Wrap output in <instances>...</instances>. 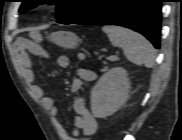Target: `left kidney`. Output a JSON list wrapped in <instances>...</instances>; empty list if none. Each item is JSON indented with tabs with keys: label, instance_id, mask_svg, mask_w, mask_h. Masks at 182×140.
Returning a JSON list of instances; mask_svg holds the SVG:
<instances>
[{
	"label": "left kidney",
	"instance_id": "5707ae66",
	"mask_svg": "<svg viewBox=\"0 0 182 140\" xmlns=\"http://www.w3.org/2000/svg\"><path fill=\"white\" fill-rule=\"evenodd\" d=\"M130 82L127 71L115 67L98 80L91 91V111L94 117L113 115L127 101Z\"/></svg>",
	"mask_w": 182,
	"mask_h": 140
}]
</instances>
